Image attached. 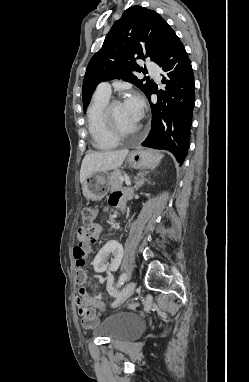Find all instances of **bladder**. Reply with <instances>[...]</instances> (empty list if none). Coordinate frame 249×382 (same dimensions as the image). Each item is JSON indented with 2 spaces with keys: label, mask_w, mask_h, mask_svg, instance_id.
Wrapping results in <instances>:
<instances>
[{
  "label": "bladder",
  "mask_w": 249,
  "mask_h": 382,
  "mask_svg": "<svg viewBox=\"0 0 249 382\" xmlns=\"http://www.w3.org/2000/svg\"><path fill=\"white\" fill-rule=\"evenodd\" d=\"M144 329L143 320L134 314L113 315L101 321L95 333L110 340L132 339Z\"/></svg>",
  "instance_id": "bladder-1"
}]
</instances>
